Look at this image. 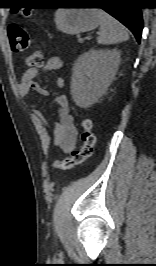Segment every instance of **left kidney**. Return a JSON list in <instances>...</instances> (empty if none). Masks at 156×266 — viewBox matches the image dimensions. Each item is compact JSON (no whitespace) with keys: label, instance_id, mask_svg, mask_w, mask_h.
<instances>
[{"label":"left kidney","instance_id":"left-kidney-1","mask_svg":"<svg viewBox=\"0 0 156 266\" xmlns=\"http://www.w3.org/2000/svg\"><path fill=\"white\" fill-rule=\"evenodd\" d=\"M120 63V51L94 50L85 52L75 63L71 94L81 108L95 104L112 83Z\"/></svg>","mask_w":156,"mask_h":266}]
</instances>
